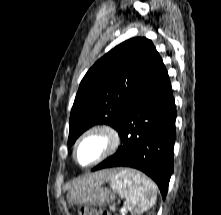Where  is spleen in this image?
<instances>
[{"label": "spleen", "instance_id": "spleen-1", "mask_svg": "<svg viewBox=\"0 0 221 215\" xmlns=\"http://www.w3.org/2000/svg\"><path fill=\"white\" fill-rule=\"evenodd\" d=\"M111 188L125 198L135 213L148 211L156 202V185L138 171L123 170L111 178Z\"/></svg>", "mask_w": 221, "mask_h": 215}]
</instances>
